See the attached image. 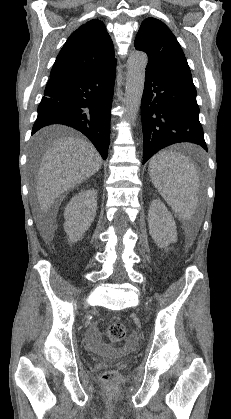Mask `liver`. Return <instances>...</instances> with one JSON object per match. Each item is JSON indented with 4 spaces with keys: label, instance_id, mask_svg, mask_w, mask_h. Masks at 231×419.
<instances>
[{
    "label": "liver",
    "instance_id": "6515ba94",
    "mask_svg": "<svg viewBox=\"0 0 231 419\" xmlns=\"http://www.w3.org/2000/svg\"><path fill=\"white\" fill-rule=\"evenodd\" d=\"M48 134L47 130L38 132L34 137L40 144ZM102 158L89 142L77 137H63L53 142L43 155L37 176V199L41 215L37 224L45 239L53 236V224L44 225L55 199L64 192L80 185L97 173Z\"/></svg>",
    "mask_w": 231,
    "mask_h": 419
}]
</instances>
